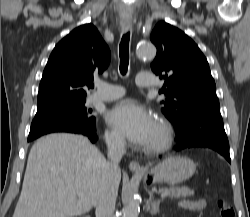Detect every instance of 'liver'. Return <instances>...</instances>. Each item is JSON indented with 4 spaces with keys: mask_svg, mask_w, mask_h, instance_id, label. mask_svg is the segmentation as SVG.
Returning a JSON list of instances; mask_svg holds the SVG:
<instances>
[{
    "mask_svg": "<svg viewBox=\"0 0 250 217\" xmlns=\"http://www.w3.org/2000/svg\"><path fill=\"white\" fill-rule=\"evenodd\" d=\"M106 159L82 135L50 134L32 146L13 217H74L96 206ZM121 178V175H120Z\"/></svg>",
    "mask_w": 250,
    "mask_h": 217,
    "instance_id": "1",
    "label": "liver"
}]
</instances>
